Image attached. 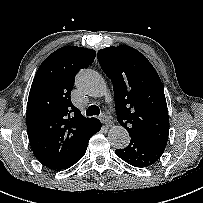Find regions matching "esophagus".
I'll list each match as a JSON object with an SVG mask.
<instances>
[{"label": "esophagus", "mask_w": 203, "mask_h": 203, "mask_svg": "<svg viewBox=\"0 0 203 203\" xmlns=\"http://www.w3.org/2000/svg\"><path fill=\"white\" fill-rule=\"evenodd\" d=\"M99 118H100V121L103 124H106L107 126H111L112 125V121L109 119V117L107 115L101 114Z\"/></svg>", "instance_id": "34e87169"}]
</instances>
